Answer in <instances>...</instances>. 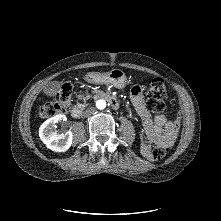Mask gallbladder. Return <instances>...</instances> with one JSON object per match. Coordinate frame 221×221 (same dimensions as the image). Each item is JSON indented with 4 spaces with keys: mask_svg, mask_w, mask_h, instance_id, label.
Returning a JSON list of instances; mask_svg holds the SVG:
<instances>
[{
    "mask_svg": "<svg viewBox=\"0 0 221 221\" xmlns=\"http://www.w3.org/2000/svg\"><path fill=\"white\" fill-rule=\"evenodd\" d=\"M60 87H61L60 82H53L49 85V88H51L52 90H55V91H57Z\"/></svg>",
    "mask_w": 221,
    "mask_h": 221,
    "instance_id": "1",
    "label": "gallbladder"
}]
</instances>
